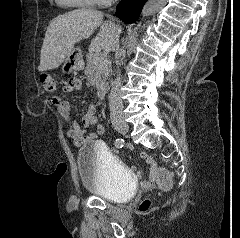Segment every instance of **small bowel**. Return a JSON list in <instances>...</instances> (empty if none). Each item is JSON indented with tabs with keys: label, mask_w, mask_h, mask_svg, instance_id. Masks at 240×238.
<instances>
[{
	"label": "small bowel",
	"mask_w": 240,
	"mask_h": 238,
	"mask_svg": "<svg viewBox=\"0 0 240 238\" xmlns=\"http://www.w3.org/2000/svg\"><path fill=\"white\" fill-rule=\"evenodd\" d=\"M81 88V84L77 79H70L68 83L64 86L63 90L67 93L77 91ZM52 103L57 108L59 114L64 118L65 121L70 120V105L66 100L59 97H53ZM98 107V101L94 100L87 112V114L82 117L81 120H76L72 123L71 127L67 130V136L72 140L74 146L78 147L84 142L93 141L98 138L99 135L104 133L103 126L99 123L98 118L95 116V112ZM89 127H95L96 132L91 133L87 136L84 135L85 130ZM126 151H134L135 147L131 143L125 144ZM109 151L113 154H122L123 150L118 149V146H109ZM141 158L146 161L149 165L150 171L147 179H139V184L141 187H154L155 183V171L157 169L156 163L152 157H150L145 152L141 153ZM131 168L135 171L136 165L132 164ZM142 170H137V175H142Z\"/></svg>",
	"instance_id": "obj_1"
}]
</instances>
